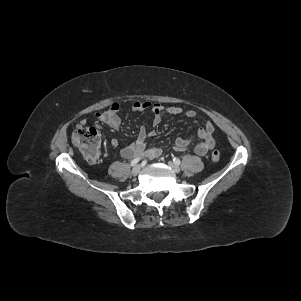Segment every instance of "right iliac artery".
Returning <instances> with one entry per match:
<instances>
[{
    "label": "right iliac artery",
    "mask_w": 301,
    "mask_h": 301,
    "mask_svg": "<svg viewBox=\"0 0 301 301\" xmlns=\"http://www.w3.org/2000/svg\"><path fill=\"white\" fill-rule=\"evenodd\" d=\"M140 159H141L140 157H137V158L133 159L131 161V166H135L140 161Z\"/></svg>",
    "instance_id": "82829eb1"
}]
</instances>
